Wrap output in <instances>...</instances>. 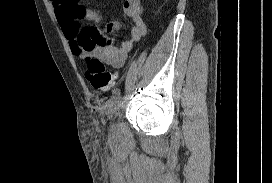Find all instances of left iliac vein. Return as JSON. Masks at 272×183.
I'll use <instances>...</instances> for the list:
<instances>
[{
	"instance_id": "1",
	"label": "left iliac vein",
	"mask_w": 272,
	"mask_h": 183,
	"mask_svg": "<svg viewBox=\"0 0 272 183\" xmlns=\"http://www.w3.org/2000/svg\"><path fill=\"white\" fill-rule=\"evenodd\" d=\"M118 105H119L118 99H113L106 103L105 110L109 118H112L115 115L116 111L118 110Z\"/></svg>"
}]
</instances>
